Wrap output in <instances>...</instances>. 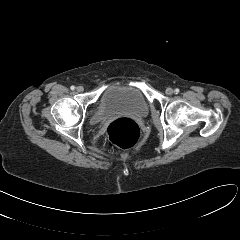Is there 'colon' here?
<instances>
[{
	"mask_svg": "<svg viewBox=\"0 0 240 240\" xmlns=\"http://www.w3.org/2000/svg\"><path fill=\"white\" fill-rule=\"evenodd\" d=\"M139 138L138 124L131 119L121 118L108 126L105 144L109 148H128L136 144Z\"/></svg>",
	"mask_w": 240,
	"mask_h": 240,
	"instance_id": "1",
	"label": "colon"
}]
</instances>
